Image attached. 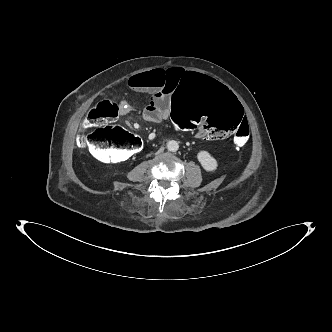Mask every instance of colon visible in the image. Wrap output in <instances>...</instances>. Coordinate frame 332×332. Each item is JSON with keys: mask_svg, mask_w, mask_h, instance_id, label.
<instances>
[{"mask_svg": "<svg viewBox=\"0 0 332 332\" xmlns=\"http://www.w3.org/2000/svg\"><path fill=\"white\" fill-rule=\"evenodd\" d=\"M119 105L103 100L94 106L86 119L90 130L86 137L95 157L105 163L122 162L137 154L143 140L120 128L108 131L100 126L115 119ZM243 107L239 98L216 80L205 74L192 73L183 77L172 96L170 117L183 133H200L214 139L227 138L234 133L233 144L243 147L250 136V128L242 121ZM240 123V124H239Z\"/></svg>", "mask_w": 332, "mask_h": 332, "instance_id": "obj_1", "label": "colon"}]
</instances>
